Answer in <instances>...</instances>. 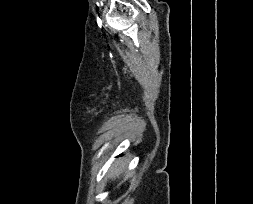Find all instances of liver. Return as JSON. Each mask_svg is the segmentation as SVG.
Segmentation results:
<instances>
[{
	"mask_svg": "<svg viewBox=\"0 0 253 204\" xmlns=\"http://www.w3.org/2000/svg\"><path fill=\"white\" fill-rule=\"evenodd\" d=\"M117 166H118V168H113V171L115 172L116 176L120 175L125 169L124 165L121 164V161H117L115 163V167H117Z\"/></svg>",
	"mask_w": 253,
	"mask_h": 204,
	"instance_id": "liver-1",
	"label": "liver"
}]
</instances>
